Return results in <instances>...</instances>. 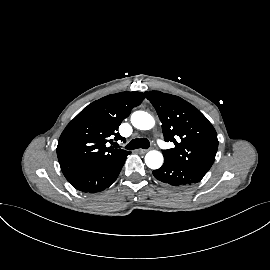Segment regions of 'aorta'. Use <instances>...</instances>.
Returning <instances> with one entry per match:
<instances>
[{
    "instance_id": "aorta-1",
    "label": "aorta",
    "mask_w": 270,
    "mask_h": 270,
    "mask_svg": "<svg viewBox=\"0 0 270 270\" xmlns=\"http://www.w3.org/2000/svg\"><path fill=\"white\" fill-rule=\"evenodd\" d=\"M132 125L140 130H149L154 127V118L145 111H136L131 115ZM145 163L151 169H158L163 164V155L159 151H149L145 155Z\"/></svg>"
}]
</instances>
